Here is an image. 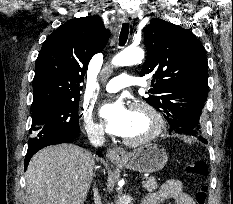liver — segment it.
<instances>
[{"label": "liver", "instance_id": "liver-1", "mask_svg": "<svg viewBox=\"0 0 233 204\" xmlns=\"http://www.w3.org/2000/svg\"><path fill=\"white\" fill-rule=\"evenodd\" d=\"M93 170L92 154L77 145L40 150L31 158L25 175L30 204H83Z\"/></svg>", "mask_w": 233, "mask_h": 204}]
</instances>
